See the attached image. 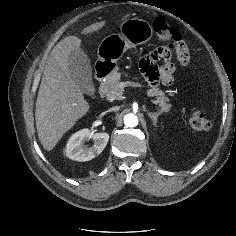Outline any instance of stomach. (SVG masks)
Wrapping results in <instances>:
<instances>
[{
    "mask_svg": "<svg viewBox=\"0 0 236 236\" xmlns=\"http://www.w3.org/2000/svg\"><path fill=\"white\" fill-rule=\"evenodd\" d=\"M119 28L120 33L110 34L101 41L97 52L98 61L112 71L118 68L117 62L129 48L145 44L153 36L150 23L139 18L125 19Z\"/></svg>",
    "mask_w": 236,
    "mask_h": 236,
    "instance_id": "obj_1",
    "label": "stomach"
}]
</instances>
